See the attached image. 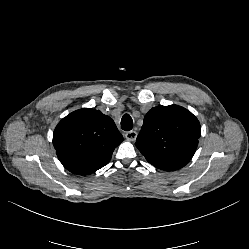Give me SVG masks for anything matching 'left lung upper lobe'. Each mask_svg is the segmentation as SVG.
Listing matches in <instances>:
<instances>
[{
  "label": "left lung upper lobe",
  "mask_w": 249,
  "mask_h": 249,
  "mask_svg": "<svg viewBox=\"0 0 249 249\" xmlns=\"http://www.w3.org/2000/svg\"><path fill=\"white\" fill-rule=\"evenodd\" d=\"M201 127L198 119L178 105L157 106L148 111L135 145L155 167L173 171L194 155Z\"/></svg>",
  "instance_id": "left-lung-upper-lobe-1"
}]
</instances>
